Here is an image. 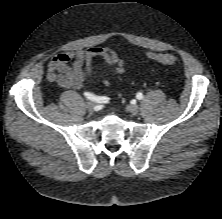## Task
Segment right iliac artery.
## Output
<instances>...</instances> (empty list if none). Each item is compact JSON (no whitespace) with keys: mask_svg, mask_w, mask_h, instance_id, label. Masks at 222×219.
<instances>
[{"mask_svg":"<svg viewBox=\"0 0 222 219\" xmlns=\"http://www.w3.org/2000/svg\"><path fill=\"white\" fill-rule=\"evenodd\" d=\"M84 95L87 99H90L92 101H96V102H99V103H102V102H107L109 100L108 97H105V96H96L94 94H91L89 92H84Z\"/></svg>","mask_w":222,"mask_h":219,"instance_id":"1","label":"right iliac artery"}]
</instances>
